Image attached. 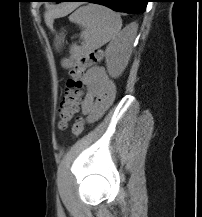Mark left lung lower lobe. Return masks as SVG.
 Here are the masks:
<instances>
[{"instance_id":"0a47b994","label":"left lung lower lobe","mask_w":202,"mask_h":217,"mask_svg":"<svg viewBox=\"0 0 202 217\" xmlns=\"http://www.w3.org/2000/svg\"><path fill=\"white\" fill-rule=\"evenodd\" d=\"M91 2L107 6L118 12L129 14L143 13L146 9L148 0H55V2Z\"/></svg>"}]
</instances>
